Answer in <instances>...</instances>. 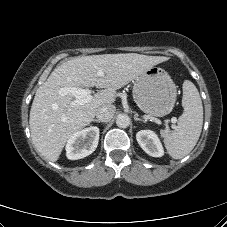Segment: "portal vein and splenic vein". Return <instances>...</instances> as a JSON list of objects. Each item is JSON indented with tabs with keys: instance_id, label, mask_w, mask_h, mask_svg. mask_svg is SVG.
Listing matches in <instances>:
<instances>
[{
	"instance_id": "1",
	"label": "portal vein and splenic vein",
	"mask_w": 227,
	"mask_h": 227,
	"mask_svg": "<svg viewBox=\"0 0 227 227\" xmlns=\"http://www.w3.org/2000/svg\"><path fill=\"white\" fill-rule=\"evenodd\" d=\"M97 75L103 76L104 72L99 70L97 72ZM62 92L64 94L70 93L76 98L75 101L72 103L73 105H75V104L82 105V104L88 103L89 101L92 100L91 90H89V89L71 87V88L64 89ZM176 122H177V119L175 117H172L171 123L175 124Z\"/></svg>"
}]
</instances>
